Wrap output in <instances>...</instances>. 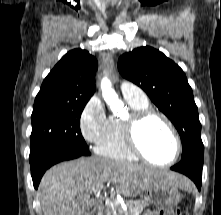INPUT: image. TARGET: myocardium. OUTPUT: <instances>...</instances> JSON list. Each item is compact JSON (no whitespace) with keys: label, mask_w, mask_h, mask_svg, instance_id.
<instances>
[{"label":"myocardium","mask_w":221,"mask_h":215,"mask_svg":"<svg viewBox=\"0 0 221 215\" xmlns=\"http://www.w3.org/2000/svg\"><path fill=\"white\" fill-rule=\"evenodd\" d=\"M156 117L160 119L169 129L170 133L173 136L175 143V151L173 157L164 163H158L149 158L144 151L142 150L139 144V131L143 124L150 118ZM124 137L127 144V147L137 158L158 167H168L173 165L181 154V139L180 136L173 125V123L161 112L152 109L145 108L140 110L132 111L123 121Z\"/></svg>","instance_id":"obj_1"}]
</instances>
